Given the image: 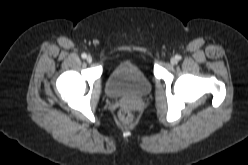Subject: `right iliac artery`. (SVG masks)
<instances>
[{
    "label": "right iliac artery",
    "mask_w": 248,
    "mask_h": 165,
    "mask_svg": "<svg viewBox=\"0 0 248 165\" xmlns=\"http://www.w3.org/2000/svg\"><path fill=\"white\" fill-rule=\"evenodd\" d=\"M81 57H82V58H86V57H87L86 53H83V54L81 55Z\"/></svg>",
    "instance_id": "right-iliac-artery-1"
}]
</instances>
